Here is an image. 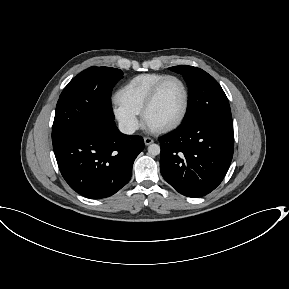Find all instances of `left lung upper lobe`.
<instances>
[{
  "instance_id": "5c2ea615",
  "label": "left lung upper lobe",
  "mask_w": 289,
  "mask_h": 289,
  "mask_svg": "<svg viewBox=\"0 0 289 289\" xmlns=\"http://www.w3.org/2000/svg\"><path fill=\"white\" fill-rule=\"evenodd\" d=\"M183 75L188 86V107L180 126L201 119L232 124L228 99L218 82L204 70L188 65L170 67Z\"/></svg>"
}]
</instances>
